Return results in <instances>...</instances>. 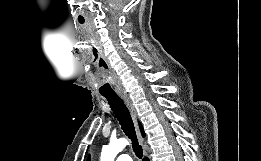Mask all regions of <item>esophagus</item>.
Wrapping results in <instances>:
<instances>
[{
	"label": "esophagus",
	"instance_id": "34e87169",
	"mask_svg": "<svg viewBox=\"0 0 261 161\" xmlns=\"http://www.w3.org/2000/svg\"><path fill=\"white\" fill-rule=\"evenodd\" d=\"M119 96L123 100V102L125 103L126 107L128 108V110H129V112L132 116V119L134 121L135 129H136V133H137V136L139 138V141L143 144V138H142L141 133H140L139 128H138L137 113H136L135 107H134L132 101L130 100V98L127 96V94L120 93Z\"/></svg>",
	"mask_w": 261,
	"mask_h": 161
}]
</instances>
